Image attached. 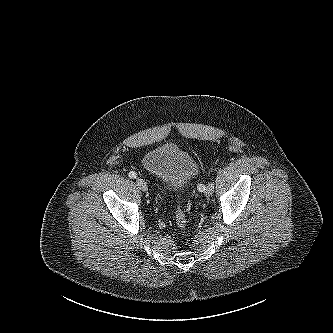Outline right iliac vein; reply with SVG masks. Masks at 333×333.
<instances>
[{
  "instance_id": "63e3f726",
  "label": "right iliac vein",
  "mask_w": 333,
  "mask_h": 333,
  "mask_svg": "<svg viewBox=\"0 0 333 333\" xmlns=\"http://www.w3.org/2000/svg\"><path fill=\"white\" fill-rule=\"evenodd\" d=\"M136 183H137V186L144 192H146L148 190V186H147V183L141 179V178H137L136 179Z\"/></svg>"
}]
</instances>
